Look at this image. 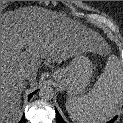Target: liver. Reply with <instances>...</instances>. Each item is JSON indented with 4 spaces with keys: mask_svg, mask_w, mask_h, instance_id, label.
I'll return each mask as SVG.
<instances>
[{
    "mask_svg": "<svg viewBox=\"0 0 123 123\" xmlns=\"http://www.w3.org/2000/svg\"><path fill=\"white\" fill-rule=\"evenodd\" d=\"M102 38L92 30L41 8H26L1 18V123H17L23 71L34 85L39 63L60 64L77 51L100 52ZM26 48V51L22 49Z\"/></svg>",
    "mask_w": 123,
    "mask_h": 123,
    "instance_id": "6515ba94",
    "label": "liver"
}]
</instances>
